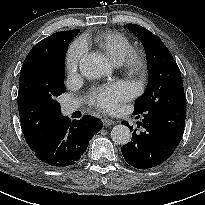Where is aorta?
Masks as SVG:
<instances>
[{
	"mask_svg": "<svg viewBox=\"0 0 205 205\" xmlns=\"http://www.w3.org/2000/svg\"><path fill=\"white\" fill-rule=\"evenodd\" d=\"M80 73L87 79H97L108 72L107 60L98 53L86 54L79 63ZM132 134L125 125H116L111 131L114 143L125 145L131 140Z\"/></svg>",
	"mask_w": 205,
	"mask_h": 205,
	"instance_id": "1",
	"label": "aorta"
}]
</instances>
